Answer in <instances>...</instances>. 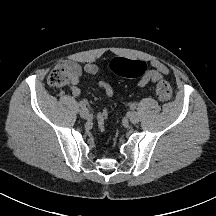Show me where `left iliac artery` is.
<instances>
[{"mask_svg": "<svg viewBox=\"0 0 216 216\" xmlns=\"http://www.w3.org/2000/svg\"><path fill=\"white\" fill-rule=\"evenodd\" d=\"M130 108H131L132 110L136 109V104H135V103L131 104Z\"/></svg>", "mask_w": 216, "mask_h": 216, "instance_id": "obj_1", "label": "left iliac artery"}]
</instances>
